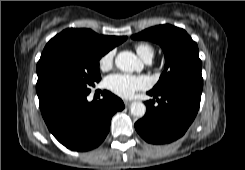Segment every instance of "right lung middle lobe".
Returning <instances> with one entry per match:
<instances>
[{
  "instance_id": "dd1d6c3e",
  "label": "right lung middle lobe",
  "mask_w": 245,
  "mask_h": 170,
  "mask_svg": "<svg viewBox=\"0 0 245 170\" xmlns=\"http://www.w3.org/2000/svg\"><path fill=\"white\" fill-rule=\"evenodd\" d=\"M103 55L64 44H47L37 63L39 104L63 95L87 94L101 79Z\"/></svg>"
}]
</instances>
